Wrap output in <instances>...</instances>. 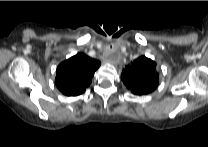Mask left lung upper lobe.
<instances>
[{
    "mask_svg": "<svg viewBox=\"0 0 208 147\" xmlns=\"http://www.w3.org/2000/svg\"><path fill=\"white\" fill-rule=\"evenodd\" d=\"M121 79L132 93L148 94L158 86L159 75L156 71V63L141 56L123 69Z\"/></svg>",
    "mask_w": 208,
    "mask_h": 147,
    "instance_id": "5c2ea615",
    "label": "left lung upper lobe"
}]
</instances>
